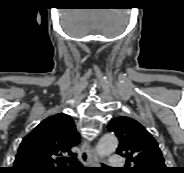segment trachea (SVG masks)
I'll list each match as a JSON object with an SVG mask.
<instances>
[{"label":"trachea","instance_id":"obj_1","mask_svg":"<svg viewBox=\"0 0 184 173\" xmlns=\"http://www.w3.org/2000/svg\"><path fill=\"white\" fill-rule=\"evenodd\" d=\"M66 160L69 162L71 168H82V164L77 160V155H74L71 158H67Z\"/></svg>","mask_w":184,"mask_h":173}]
</instances>
